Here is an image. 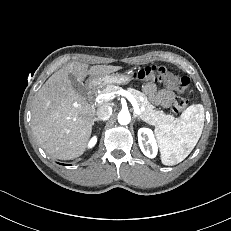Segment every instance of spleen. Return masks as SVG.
<instances>
[{
	"mask_svg": "<svg viewBox=\"0 0 231 231\" xmlns=\"http://www.w3.org/2000/svg\"><path fill=\"white\" fill-rule=\"evenodd\" d=\"M204 118L203 105L193 104L174 123L155 128L164 165H176L191 153L202 134Z\"/></svg>",
	"mask_w": 231,
	"mask_h": 231,
	"instance_id": "1",
	"label": "spleen"
}]
</instances>
